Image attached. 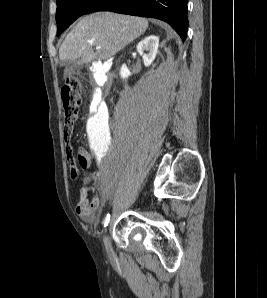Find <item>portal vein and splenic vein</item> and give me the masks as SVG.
Instances as JSON below:
<instances>
[{
  "label": "portal vein and splenic vein",
  "instance_id": "18ae733b",
  "mask_svg": "<svg viewBox=\"0 0 267 298\" xmlns=\"http://www.w3.org/2000/svg\"><path fill=\"white\" fill-rule=\"evenodd\" d=\"M101 47L100 46H96V50H99Z\"/></svg>",
  "mask_w": 267,
  "mask_h": 298
}]
</instances>
